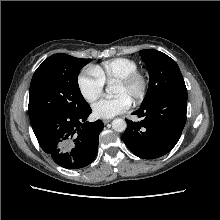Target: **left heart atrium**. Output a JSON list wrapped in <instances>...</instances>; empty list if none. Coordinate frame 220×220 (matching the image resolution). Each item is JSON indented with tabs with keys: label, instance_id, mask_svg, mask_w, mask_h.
<instances>
[{
	"label": "left heart atrium",
	"instance_id": "left-heart-atrium-1",
	"mask_svg": "<svg viewBox=\"0 0 220 220\" xmlns=\"http://www.w3.org/2000/svg\"><path fill=\"white\" fill-rule=\"evenodd\" d=\"M131 106V100L124 96H116L111 99L103 98L92 105V111L97 118H112L127 111Z\"/></svg>",
	"mask_w": 220,
	"mask_h": 220
}]
</instances>
